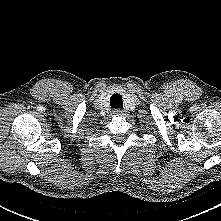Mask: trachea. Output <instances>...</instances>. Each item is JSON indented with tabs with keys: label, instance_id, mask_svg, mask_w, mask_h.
<instances>
[{
	"label": "trachea",
	"instance_id": "obj_1",
	"mask_svg": "<svg viewBox=\"0 0 221 221\" xmlns=\"http://www.w3.org/2000/svg\"><path fill=\"white\" fill-rule=\"evenodd\" d=\"M112 108H123L122 96L118 93L113 94L110 99Z\"/></svg>",
	"mask_w": 221,
	"mask_h": 221
}]
</instances>
